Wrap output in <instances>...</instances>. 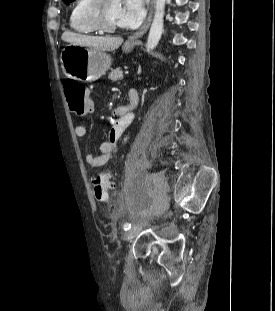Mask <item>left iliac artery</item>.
<instances>
[{"instance_id":"44dca946","label":"left iliac artery","mask_w":275,"mask_h":311,"mask_svg":"<svg viewBox=\"0 0 275 311\" xmlns=\"http://www.w3.org/2000/svg\"><path fill=\"white\" fill-rule=\"evenodd\" d=\"M131 228V223H125L124 226H123V229L125 231L129 230Z\"/></svg>"}]
</instances>
